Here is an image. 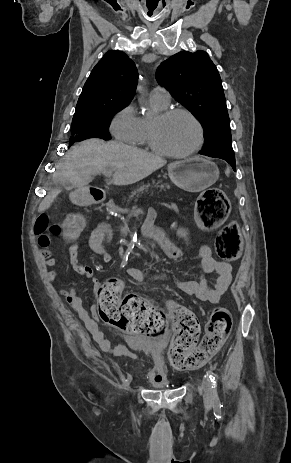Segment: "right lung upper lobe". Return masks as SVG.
Segmentation results:
<instances>
[{"mask_svg": "<svg viewBox=\"0 0 291 463\" xmlns=\"http://www.w3.org/2000/svg\"><path fill=\"white\" fill-rule=\"evenodd\" d=\"M137 79L135 64L124 52L108 51L88 77L74 115L95 111L108 101L130 103Z\"/></svg>", "mask_w": 291, "mask_h": 463, "instance_id": "1", "label": "right lung upper lobe"}]
</instances>
